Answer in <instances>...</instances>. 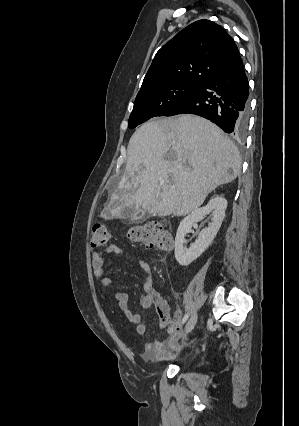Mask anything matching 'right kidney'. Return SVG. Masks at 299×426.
Wrapping results in <instances>:
<instances>
[{"instance_id":"right-kidney-1","label":"right kidney","mask_w":299,"mask_h":426,"mask_svg":"<svg viewBox=\"0 0 299 426\" xmlns=\"http://www.w3.org/2000/svg\"><path fill=\"white\" fill-rule=\"evenodd\" d=\"M226 208L227 200L217 195L180 222L175 237V258L181 266H188L209 247L221 227ZM210 212H212V222L200 232L197 240L186 248L184 246L186 234L190 232L194 223L202 220Z\"/></svg>"}]
</instances>
